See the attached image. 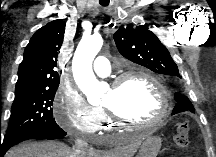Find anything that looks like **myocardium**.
<instances>
[{
    "label": "myocardium",
    "instance_id": "obj_1",
    "mask_svg": "<svg viewBox=\"0 0 216 157\" xmlns=\"http://www.w3.org/2000/svg\"><path fill=\"white\" fill-rule=\"evenodd\" d=\"M133 77L146 79L154 85V87L157 89L161 97V108L157 116L152 120L137 121L120 115L108 105H103L111 122L115 125L124 124V125L136 126V127L154 126L162 123L166 119L170 111V97L167 89L155 76L141 69L130 70L116 77L111 82V89L113 91H118L128 79Z\"/></svg>",
    "mask_w": 216,
    "mask_h": 157
}]
</instances>
